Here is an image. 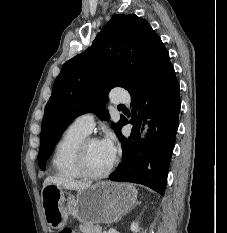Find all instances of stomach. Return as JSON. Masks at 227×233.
<instances>
[{
  "mask_svg": "<svg viewBox=\"0 0 227 233\" xmlns=\"http://www.w3.org/2000/svg\"><path fill=\"white\" fill-rule=\"evenodd\" d=\"M137 190L130 184L100 182L76 194L49 184L42 189V206L47 224L54 229L66 225L69 216L90 224L113 223L136 204Z\"/></svg>",
  "mask_w": 227,
  "mask_h": 233,
  "instance_id": "obj_1",
  "label": "stomach"
}]
</instances>
